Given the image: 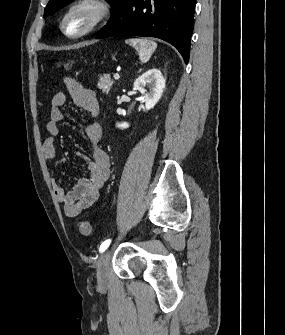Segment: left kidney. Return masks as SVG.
I'll return each instance as SVG.
<instances>
[{
  "label": "left kidney",
  "mask_w": 285,
  "mask_h": 335,
  "mask_svg": "<svg viewBox=\"0 0 285 335\" xmlns=\"http://www.w3.org/2000/svg\"><path fill=\"white\" fill-rule=\"evenodd\" d=\"M133 86L135 90L143 94L146 110H152L163 94L165 88L164 76H162L160 70L153 68V70H148V72L139 76ZM146 86L149 88V92L145 90ZM117 128L125 130V128H129V124L128 122H120V124H117Z\"/></svg>",
  "instance_id": "1"
}]
</instances>
